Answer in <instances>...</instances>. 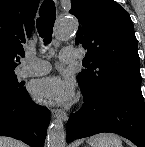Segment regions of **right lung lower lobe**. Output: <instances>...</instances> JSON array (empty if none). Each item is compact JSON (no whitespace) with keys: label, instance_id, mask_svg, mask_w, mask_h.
<instances>
[{"label":"right lung lower lobe","instance_id":"1","mask_svg":"<svg viewBox=\"0 0 145 147\" xmlns=\"http://www.w3.org/2000/svg\"><path fill=\"white\" fill-rule=\"evenodd\" d=\"M49 121V110L35 104L26 89L18 99L0 101V136L13 137L31 147H42Z\"/></svg>","mask_w":145,"mask_h":147}]
</instances>
